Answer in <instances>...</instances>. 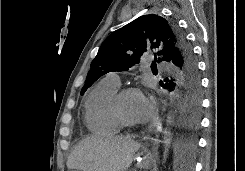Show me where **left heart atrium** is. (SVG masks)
Instances as JSON below:
<instances>
[{
    "label": "left heart atrium",
    "instance_id": "left-heart-atrium-1",
    "mask_svg": "<svg viewBox=\"0 0 245 171\" xmlns=\"http://www.w3.org/2000/svg\"><path fill=\"white\" fill-rule=\"evenodd\" d=\"M156 112V104L154 99L148 96H142L138 111H137V120L138 122H146L150 120Z\"/></svg>",
    "mask_w": 245,
    "mask_h": 171
}]
</instances>
